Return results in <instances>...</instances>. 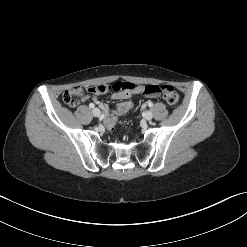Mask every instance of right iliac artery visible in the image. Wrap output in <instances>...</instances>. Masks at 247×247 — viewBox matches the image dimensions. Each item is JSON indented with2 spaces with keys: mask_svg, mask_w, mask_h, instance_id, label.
<instances>
[{
  "mask_svg": "<svg viewBox=\"0 0 247 247\" xmlns=\"http://www.w3.org/2000/svg\"><path fill=\"white\" fill-rule=\"evenodd\" d=\"M94 106H95V105H94L93 103H90V104H89V107H90V108H94Z\"/></svg>",
  "mask_w": 247,
  "mask_h": 247,
  "instance_id": "right-iliac-artery-1",
  "label": "right iliac artery"
}]
</instances>
